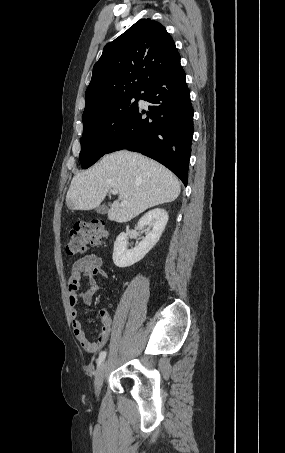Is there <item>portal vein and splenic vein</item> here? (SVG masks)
I'll return each mask as SVG.
<instances>
[{
    "instance_id": "portal-vein-and-splenic-vein-1",
    "label": "portal vein and splenic vein",
    "mask_w": 285,
    "mask_h": 453,
    "mask_svg": "<svg viewBox=\"0 0 285 453\" xmlns=\"http://www.w3.org/2000/svg\"><path fill=\"white\" fill-rule=\"evenodd\" d=\"M111 192L113 195H116V194H118V189H112Z\"/></svg>"
}]
</instances>
